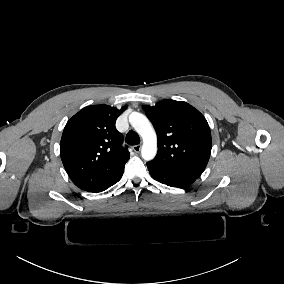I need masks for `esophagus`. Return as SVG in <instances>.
<instances>
[{
    "label": "esophagus",
    "mask_w": 284,
    "mask_h": 284,
    "mask_svg": "<svg viewBox=\"0 0 284 284\" xmlns=\"http://www.w3.org/2000/svg\"><path fill=\"white\" fill-rule=\"evenodd\" d=\"M133 150L136 152V153H139L140 152V150H141V145H134L133 147Z\"/></svg>",
    "instance_id": "obj_1"
}]
</instances>
